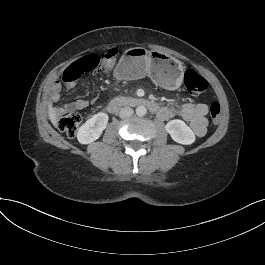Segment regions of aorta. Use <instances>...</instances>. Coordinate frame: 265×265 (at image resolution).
<instances>
[{"label": "aorta", "mask_w": 265, "mask_h": 265, "mask_svg": "<svg viewBox=\"0 0 265 265\" xmlns=\"http://www.w3.org/2000/svg\"><path fill=\"white\" fill-rule=\"evenodd\" d=\"M147 113V109L145 106L140 105L136 108V114L138 116H144Z\"/></svg>", "instance_id": "obj_1"}]
</instances>
